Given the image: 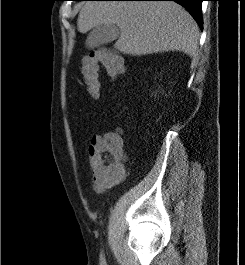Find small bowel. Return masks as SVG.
I'll list each match as a JSON object with an SVG mask.
<instances>
[{
	"label": "small bowel",
	"instance_id": "c3829d8e",
	"mask_svg": "<svg viewBox=\"0 0 245 265\" xmlns=\"http://www.w3.org/2000/svg\"><path fill=\"white\" fill-rule=\"evenodd\" d=\"M107 135L108 134L104 136L101 135L93 136L91 138L90 145L88 147V155L91 166V186L93 190L98 194H105L108 190L116 186L120 180V179H115V180L108 179L93 167V156L97 151V149L101 146Z\"/></svg>",
	"mask_w": 245,
	"mask_h": 265
}]
</instances>
